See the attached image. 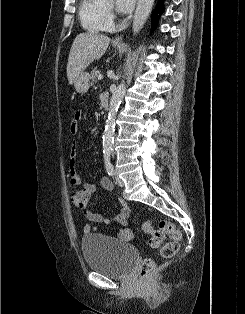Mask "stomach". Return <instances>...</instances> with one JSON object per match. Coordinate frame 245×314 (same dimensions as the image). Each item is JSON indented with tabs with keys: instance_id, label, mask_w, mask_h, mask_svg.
<instances>
[{
	"instance_id": "stomach-1",
	"label": "stomach",
	"mask_w": 245,
	"mask_h": 314,
	"mask_svg": "<svg viewBox=\"0 0 245 314\" xmlns=\"http://www.w3.org/2000/svg\"><path fill=\"white\" fill-rule=\"evenodd\" d=\"M115 48H120L121 45L114 44ZM90 75L87 72H82L74 81L75 90L80 93H86L89 89Z\"/></svg>"
}]
</instances>
